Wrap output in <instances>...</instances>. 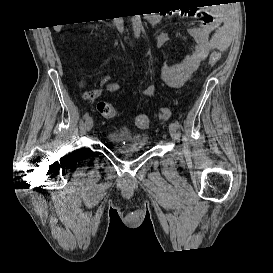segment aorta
I'll return each mask as SVG.
<instances>
[{
    "label": "aorta",
    "mask_w": 273,
    "mask_h": 273,
    "mask_svg": "<svg viewBox=\"0 0 273 273\" xmlns=\"http://www.w3.org/2000/svg\"><path fill=\"white\" fill-rule=\"evenodd\" d=\"M132 28H133L134 36L136 38H139L141 34V30H142V21H141L140 15L132 16Z\"/></svg>",
    "instance_id": "762f6f07"
}]
</instances>
